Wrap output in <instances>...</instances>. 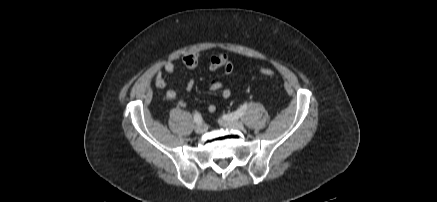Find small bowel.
Masks as SVG:
<instances>
[{"instance_id": "1", "label": "small bowel", "mask_w": 437, "mask_h": 202, "mask_svg": "<svg viewBox=\"0 0 437 202\" xmlns=\"http://www.w3.org/2000/svg\"><path fill=\"white\" fill-rule=\"evenodd\" d=\"M183 64L186 68L190 70H196L199 64V55L197 53H189L183 57ZM208 68L210 70H223L226 74H231L233 72V64L226 54L213 55L208 60ZM162 71L166 74H172L175 71V64L173 62H167L164 64L161 70H159L155 76V85L159 89L166 91V97L169 100L177 102L180 107H186L185 101L179 98L177 92L168 87L167 82L162 76ZM195 81L190 79L186 84V90L189 92L194 88ZM208 89L212 92L221 91V96L223 99H228L231 96V91L224 86V84L218 80H212ZM208 112L213 113L216 111V106L211 104L207 108Z\"/></svg>"}]
</instances>
